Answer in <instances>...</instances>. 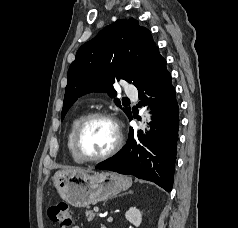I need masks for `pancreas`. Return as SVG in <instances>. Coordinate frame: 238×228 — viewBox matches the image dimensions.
<instances>
[{"label":"pancreas","mask_w":238,"mask_h":228,"mask_svg":"<svg viewBox=\"0 0 238 228\" xmlns=\"http://www.w3.org/2000/svg\"><path fill=\"white\" fill-rule=\"evenodd\" d=\"M85 214L88 221H93L96 216V214L92 210H86Z\"/></svg>","instance_id":"1"}]
</instances>
